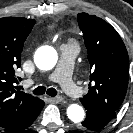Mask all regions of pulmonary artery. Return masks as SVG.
I'll list each match as a JSON object with an SVG mask.
<instances>
[{
    "mask_svg": "<svg viewBox=\"0 0 133 133\" xmlns=\"http://www.w3.org/2000/svg\"><path fill=\"white\" fill-rule=\"evenodd\" d=\"M78 50L79 48L76 44H63L60 48L61 53L57 67L47 76L48 81L58 82L63 90L73 98L79 97L82 93L72 79L74 60Z\"/></svg>",
    "mask_w": 133,
    "mask_h": 133,
    "instance_id": "1",
    "label": "pulmonary artery"
}]
</instances>
